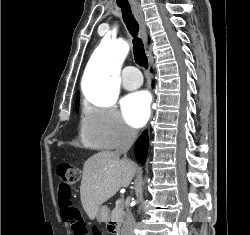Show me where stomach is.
<instances>
[{
  "instance_id": "1",
  "label": "stomach",
  "mask_w": 250,
  "mask_h": 235,
  "mask_svg": "<svg viewBox=\"0 0 250 235\" xmlns=\"http://www.w3.org/2000/svg\"><path fill=\"white\" fill-rule=\"evenodd\" d=\"M109 218V211L106 206H101L97 213L98 222H106Z\"/></svg>"
}]
</instances>
